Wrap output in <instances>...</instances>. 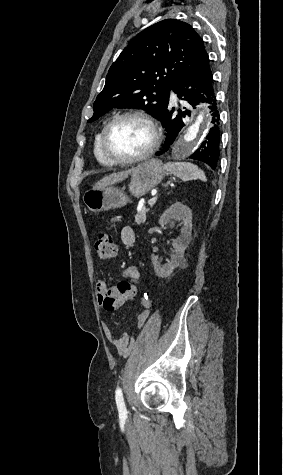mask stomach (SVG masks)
Returning a JSON list of instances; mask_svg holds the SVG:
<instances>
[{"mask_svg": "<svg viewBox=\"0 0 283 475\" xmlns=\"http://www.w3.org/2000/svg\"><path fill=\"white\" fill-rule=\"evenodd\" d=\"M166 172L160 160H145L138 164L130 174L129 192L135 198L145 196L149 190L156 188L162 182ZM83 202L90 212H105L122 208L129 202L128 196L123 190L114 186H106L102 190H87L83 196Z\"/></svg>", "mask_w": 283, "mask_h": 475, "instance_id": "0dacf381", "label": "stomach"}]
</instances>
